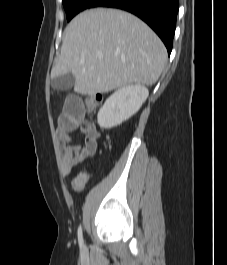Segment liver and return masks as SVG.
<instances>
[{
  "label": "liver",
  "instance_id": "obj_1",
  "mask_svg": "<svg viewBox=\"0 0 227 265\" xmlns=\"http://www.w3.org/2000/svg\"><path fill=\"white\" fill-rule=\"evenodd\" d=\"M166 61L164 44L143 21L124 11L98 8L80 13L67 25L51 78L71 72L76 93L95 95L131 84L151 86Z\"/></svg>",
  "mask_w": 227,
  "mask_h": 265
}]
</instances>
